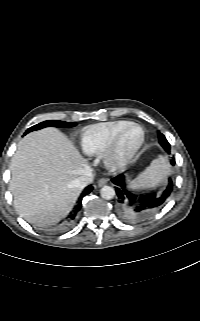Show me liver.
Wrapping results in <instances>:
<instances>
[{
  "instance_id": "6515ba94",
  "label": "liver",
  "mask_w": 200,
  "mask_h": 321,
  "mask_svg": "<svg viewBox=\"0 0 200 321\" xmlns=\"http://www.w3.org/2000/svg\"><path fill=\"white\" fill-rule=\"evenodd\" d=\"M87 168L86 159L56 128L29 133L11 160L10 190L15 209L36 225L61 220L81 193L75 180Z\"/></svg>"
}]
</instances>
